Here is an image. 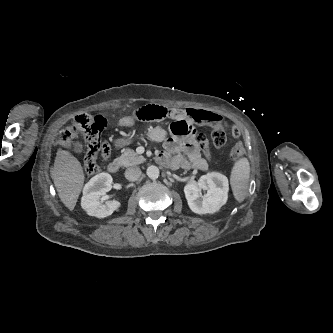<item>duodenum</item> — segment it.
<instances>
[{"instance_id": "1", "label": "duodenum", "mask_w": 333, "mask_h": 333, "mask_svg": "<svg viewBox=\"0 0 333 333\" xmlns=\"http://www.w3.org/2000/svg\"><path fill=\"white\" fill-rule=\"evenodd\" d=\"M107 169L111 174H115L119 170V163L117 161H112L108 164Z\"/></svg>"}]
</instances>
